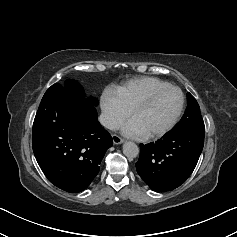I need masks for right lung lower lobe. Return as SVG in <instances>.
I'll return each instance as SVG.
<instances>
[{
  "instance_id": "obj_1",
  "label": "right lung lower lobe",
  "mask_w": 237,
  "mask_h": 237,
  "mask_svg": "<svg viewBox=\"0 0 237 237\" xmlns=\"http://www.w3.org/2000/svg\"><path fill=\"white\" fill-rule=\"evenodd\" d=\"M112 144L92 104L75 99L59 84L46 91L34 119L32 146L52 184L70 193L83 191Z\"/></svg>"
}]
</instances>
